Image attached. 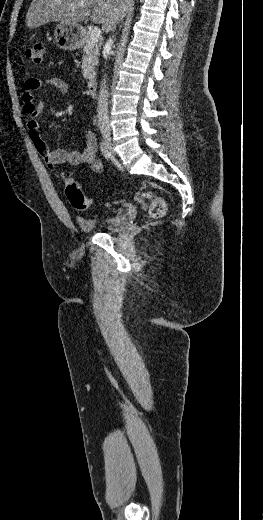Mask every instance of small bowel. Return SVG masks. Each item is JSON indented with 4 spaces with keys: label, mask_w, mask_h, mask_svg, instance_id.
Returning a JSON list of instances; mask_svg holds the SVG:
<instances>
[{
    "label": "small bowel",
    "mask_w": 263,
    "mask_h": 520,
    "mask_svg": "<svg viewBox=\"0 0 263 520\" xmlns=\"http://www.w3.org/2000/svg\"><path fill=\"white\" fill-rule=\"evenodd\" d=\"M42 86H52L62 94H67L69 91L68 84L60 78H28L24 81L21 100L27 116L26 127L28 135L37 152L50 168L61 164H87L93 172H100L102 164L97 156L98 142L93 131L87 130L83 133L84 147L81 150H52L44 141L40 134L39 123L36 120L42 114L44 106L34 102V93Z\"/></svg>",
    "instance_id": "1"
}]
</instances>
